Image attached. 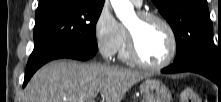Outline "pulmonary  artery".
Returning a JSON list of instances; mask_svg holds the SVG:
<instances>
[{"label":"pulmonary artery","instance_id":"1","mask_svg":"<svg viewBox=\"0 0 221 102\" xmlns=\"http://www.w3.org/2000/svg\"><path fill=\"white\" fill-rule=\"evenodd\" d=\"M136 6H141L142 0H131Z\"/></svg>","mask_w":221,"mask_h":102}]
</instances>
